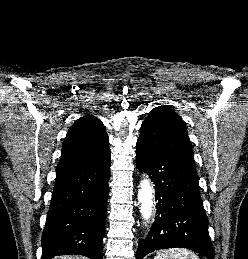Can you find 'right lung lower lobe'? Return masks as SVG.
Listing matches in <instances>:
<instances>
[{"label": "right lung lower lobe", "mask_w": 248, "mask_h": 259, "mask_svg": "<svg viewBox=\"0 0 248 259\" xmlns=\"http://www.w3.org/2000/svg\"><path fill=\"white\" fill-rule=\"evenodd\" d=\"M110 151L89 162L56 169L42 234V259L59 254L102 258Z\"/></svg>", "instance_id": "98d812e1"}]
</instances>
